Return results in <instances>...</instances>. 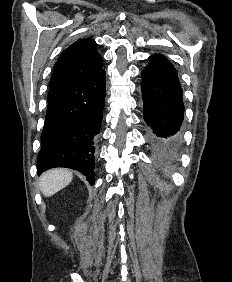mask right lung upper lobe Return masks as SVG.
<instances>
[{"mask_svg":"<svg viewBox=\"0 0 232 282\" xmlns=\"http://www.w3.org/2000/svg\"><path fill=\"white\" fill-rule=\"evenodd\" d=\"M93 39H80L69 46L54 65L48 100L69 86L102 70L103 57Z\"/></svg>","mask_w":232,"mask_h":282,"instance_id":"1","label":"right lung upper lobe"}]
</instances>
